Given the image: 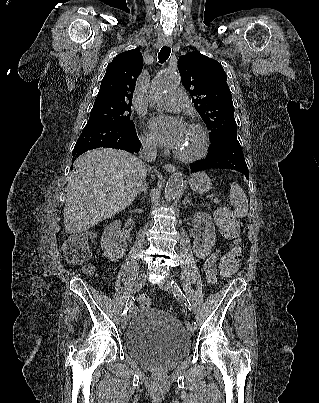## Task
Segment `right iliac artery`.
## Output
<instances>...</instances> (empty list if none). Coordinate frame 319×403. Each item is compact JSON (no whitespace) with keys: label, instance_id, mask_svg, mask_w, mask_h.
<instances>
[{"label":"right iliac artery","instance_id":"obj_1","mask_svg":"<svg viewBox=\"0 0 319 403\" xmlns=\"http://www.w3.org/2000/svg\"><path fill=\"white\" fill-rule=\"evenodd\" d=\"M134 300H135V299H134L133 296L128 297L127 302H126V305H125V308H124V311H123V313H122V319L126 316L127 311H128V310L130 309V307L132 306Z\"/></svg>","mask_w":319,"mask_h":403}]
</instances>
